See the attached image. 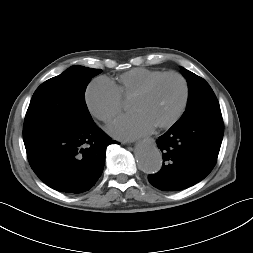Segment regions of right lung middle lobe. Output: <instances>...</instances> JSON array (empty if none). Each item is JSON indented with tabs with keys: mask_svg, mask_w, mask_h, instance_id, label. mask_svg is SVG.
Listing matches in <instances>:
<instances>
[{
	"mask_svg": "<svg viewBox=\"0 0 253 253\" xmlns=\"http://www.w3.org/2000/svg\"><path fill=\"white\" fill-rule=\"evenodd\" d=\"M101 72L75 65L42 83L33 94L25 116L24 144L58 128L92 124L84 94L90 79Z\"/></svg>",
	"mask_w": 253,
	"mask_h": 253,
	"instance_id": "obj_1",
	"label": "right lung middle lobe"
}]
</instances>
